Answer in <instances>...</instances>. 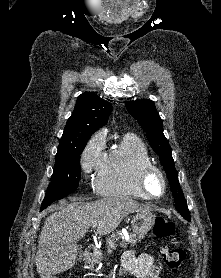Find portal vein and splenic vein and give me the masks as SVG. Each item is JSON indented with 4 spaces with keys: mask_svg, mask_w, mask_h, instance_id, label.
<instances>
[{
    "mask_svg": "<svg viewBox=\"0 0 221 278\" xmlns=\"http://www.w3.org/2000/svg\"><path fill=\"white\" fill-rule=\"evenodd\" d=\"M97 225H98V223H97L96 221H93V222L91 223L90 226H91L92 228H96Z\"/></svg>",
    "mask_w": 221,
    "mask_h": 278,
    "instance_id": "18ae733b",
    "label": "portal vein and splenic vein"
}]
</instances>
